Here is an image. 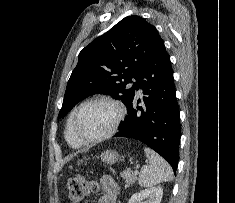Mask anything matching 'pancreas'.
I'll use <instances>...</instances> for the list:
<instances>
[{
	"label": "pancreas",
	"instance_id": "obj_1",
	"mask_svg": "<svg viewBox=\"0 0 235 203\" xmlns=\"http://www.w3.org/2000/svg\"><path fill=\"white\" fill-rule=\"evenodd\" d=\"M137 173L132 170H124L121 172V177L125 180L127 186L133 184L136 181Z\"/></svg>",
	"mask_w": 235,
	"mask_h": 203
}]
</instances>
